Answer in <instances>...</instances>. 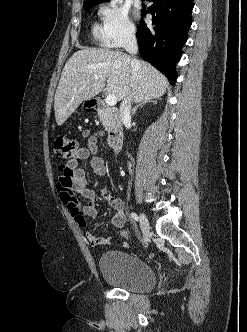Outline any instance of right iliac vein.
Here are the masks:
<instances>
[{"label": "right iliac vein", "instance_id": "1", "mask_svg": "<svg viewBox=\"0 0 247 332\" xmlns=\"http://www.w3.org/2000/svg\"><path fill=\"white\" fill-rule=\"evenodd\" d=\"M140 226L142 232L147 235L150 231V226L147 217L142 212L140 213Z\"/></svg>", "mask_w": 247, "mask_h": 332}]
</instances>
